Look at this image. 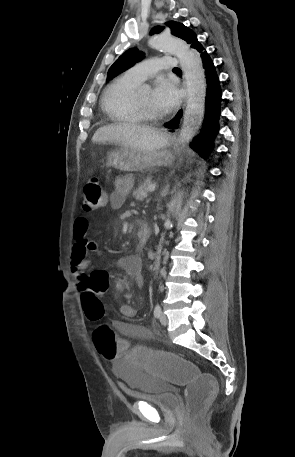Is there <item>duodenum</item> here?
Returning <instances> with one entry per match:
<instances>
[{
    "label": "duodenum",
    "mask_w": 295,
    "mask_h": 457,
    "mask_svg": "<svg viewBox=\"0 0 295 457\" xmlns=\"http://www.w3.org/2000/svg\"><path fill=\"white\" fill-rule=\"evenodd\" d=\"M138 229H139V244H140V246H144L149 239L150 229H149L148 225L143 221L138 222Z\"/></svg>",
    "instance_id": "duodenum-1"
}]
</instances>
